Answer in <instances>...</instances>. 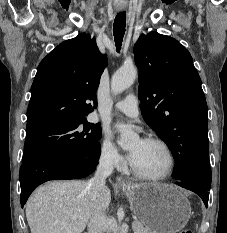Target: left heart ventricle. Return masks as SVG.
Listing matches in <instances>:
<instances>
[{"label": "left heart ventricle", "mask_w": 227, "mask_h": 233, "mask_svg": "<svg viewBox=\"0 0 227 233\" xmlns=\"http://www.w3.org/2000/svg\"><path fill=\"white\" fill-rule=\"evenodd\" d=\"M129 150L133 152L131 163L143 173L158 175L168 168V155L158 144L136 140L131 143Z\"/></svg>", "instance_id": "obj_1"}]
</instances>
